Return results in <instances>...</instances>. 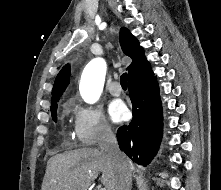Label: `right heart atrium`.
I'll return each instance as SVG.
<instances>
[{"label": "right heart atrium", "instance_id": "right-heart-atrium-1", "mask_svg": "<svg viewBox=\"0 0 221 190\" xmlns=\"http://www.w3.org/2000/svg\"><path fill=\"white\" fill-rule=\"evenodd\" d=\"M73 112L75 135L81 145L94 146L112 138L113 130L100 108L75 103Z\"/></svg>", "mask_w": 221, "mask_h": 190}]
</instances>
